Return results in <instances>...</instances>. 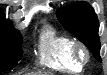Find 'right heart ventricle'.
<instances>
[{
  "mask_svg": "<svg viewBox=\"0 0 107 75\" xmlns=\"http://www.w3.org/2000/svg\"><path fill=\"white\" fill-rule=\"evenodd\" d=\"M74 42L68 35L47 27L39 39L38 63L54 70L79 72L82 65L72 55Z\"/></svg>",
  "mask_w": 107,
  "mask_h": 75,
  "instance_id": "right-heart-ventricle-1",
  "label": "right heart ventricle"
}]
</instances>
